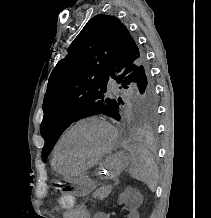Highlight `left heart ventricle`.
<instances>
[{"mask_svg":"<svg viewBox=\"0 0 211 218\" xmlns=\"http://www.w3.org/2000/svg\"><path fill=\"white\" fill-rule=\"evenodd\" d=\"M111 141L109 130L101 123L90 122L73 130L59 150V163L85 164L106 149Z\"/></svg>","mask_w":211,"mask_h":218,"instance_id":"1","label":"left heart ventricle"}]
</instances>
